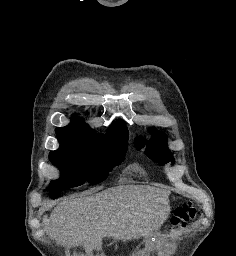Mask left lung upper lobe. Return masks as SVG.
I'll use <instances>...</instances> for the list:
<instances>
[{
  "label": "left lung upper lobe",
  "instance_id": "1",
  "mask_svg": "<svg viewBox=\"0 0 236 256\" xmlns=\"http://www.w3.org/2000/svg\"><path fill=\"white\" fill-rule=\"evenodd\" d=\"M152 138L147 142L142 138H137L135 140V147L141 149L146 145V154L147 156L156 161L159 165H163L169 161L174 162L172 153L169 151L166 145V136L158 131L155 128L151 129Z\"/></svg>",
  "mask_w": 236,
  "mask_h": 256
}]
</instances>
